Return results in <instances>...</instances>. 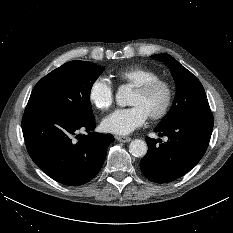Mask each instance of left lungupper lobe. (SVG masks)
I'll return each mask as SVG.
<instances>
[{
	"label": "left lung upper lobe",
	"mask_w": 233,
	"mask_h": 233,
	"mask_svg": "<svg viewBox=\"0 0 233 233\" xmlns=\"http://www.w3.org/2000/svg\"><path fill=\"white\" fill-rule=\"evenodd\" d=\"M163 61L176 84L173 105L158 126L166 127L193 113H210L209 103L200 81L169 54L151 56Z\"/></svg>",
	"instance_id": "left-lung-upper-lobe-1"
}]
</instances>
